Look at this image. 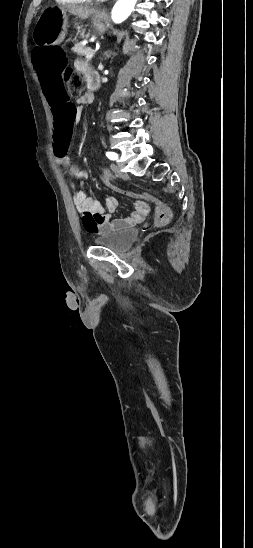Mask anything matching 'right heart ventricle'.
Returning a JSON list of instances; mask_svg holds the SVG:
<instances>
[{
  "mask_svg": "<svg viewBox=\"0 0 253 548\" xmlns=\"http://www.w3.org/2000/svg\"><path fill=\"white\" fill-rule=\"evenodd\" d=\"M55 1L61 5H75V4L87 3L90 0H55Z\"/></svg>",
  "mask_w": 253,
  "mask_h": 548,
  "instance_id": "right-heart-ventricle-1",
  "label": "right heart ventricle"
}]
</instances>
